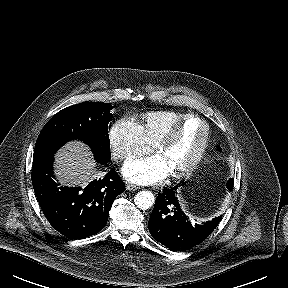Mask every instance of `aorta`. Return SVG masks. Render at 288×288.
Here are the masks:
<instances>
[{"mask_svg":"<svg viewBox=\"0 0 288 288\" xmlns=\"http://www.w3.org/2000/svg\"><path fill=\"white\" fill-rule=\"evenodd\" d=\"M155 202L154 194L151 191H140L134 197L135 205L142 210H147Z\"/></svg>","mask_w":288,"mask_h":288,"instance_id":"762f6f07","label":"aorta"}]
</instances>
